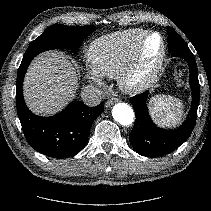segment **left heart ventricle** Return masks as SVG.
Here are the masks:
<instances>
[{"mask_svg": "<svg viewBox=\"0 0 211 211\" xmlns=\"http://www.w3.org/2000/svg\"><path fill=\"white\" fill-rule=\"evenodd\" d=\"M160 52V39L158 36L150 37L143 50L142 71L145 72L155 62Z\"/></svg>", "mask_w": 211, "mask_h": 211, "instance_id": "obj_1", "label": "left heart ventricle"}]
</instances>
